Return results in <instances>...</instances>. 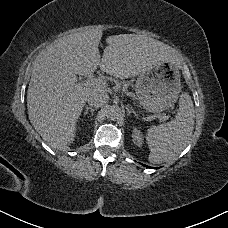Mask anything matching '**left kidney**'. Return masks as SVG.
Here are the masks:
<instances>
[{
	"instance_id": "left-kidney-1",
	"label": "left kidney",
	"mask_w": 228,
	"mask_h": 228,
	"mask_svg": "<svg viewBox=\"0 0 228 228\" xmlns=\"http://www.w3.org/2000/svg\"><path fill=\"white\" fill-rule=\"evenodd\" d=\"M132 140H133L135 145H137L138 147H142V145L144 143V137H143L142 132L139 129L133 128Z\"/></svg>"
}]
</instances>
